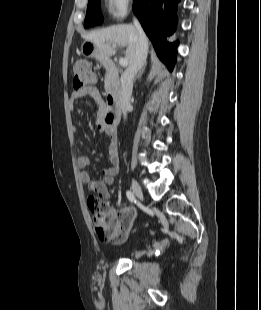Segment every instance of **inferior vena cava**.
<instances>
[{"instance_id": "1", "label": "inferior vena cava", "mask_w": 261, "mask_h": 310, "mask_svg": "<svg viewBox=\"0 0 261 310\" xmlns=\"http://www.w3.org/2000/svg\"><path fill=\"white\" fill-rule=\"evenodd\" d=\"M134 26L138 31V41L136 43L133 59L129 63L128 68L121 76V89L119 95V106L122 110L124 118L130 108V99L133 89V81L136 74L144 67L147 58L148 42L147 37L138 22L134 19Z\"/></svg>"}]
</instances>
